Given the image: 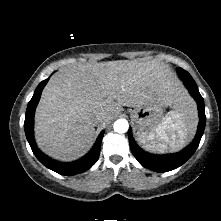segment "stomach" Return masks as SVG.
Returning a JSON list of instances; mask_svg holds the SVG:
<instances>
[{"label":"stomach","mask_w":221,"mask_h":221,"mask_svg":"<svg viewBox=\"0 0 221 221\" xmlns=\"http://www.w3.org/2000/svg\"><path fill=\"white\" fill-rule=\"evenodd\" d=\"M166 107L163 100H154L142 106L136 107L131 112L132 121L135 124L136 129L138 130L137 134L139 135H155L153 141L155 143L159 142L156 138L157 128L165 120L164 117V108ZM152 142L151 140L148 141Z\"/></svg>","instance_id":"obj_1"}]
</instances>
